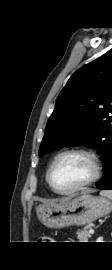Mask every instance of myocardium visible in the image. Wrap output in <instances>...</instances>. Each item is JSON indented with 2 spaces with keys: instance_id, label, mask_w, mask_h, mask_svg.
<instances>
[{
  "instance_id": "f54148a6",
  "label": "myocardium",
  "mask_w": 112,
  "mask_h": 270,
  "mask_svg": "<svg viewBox=\"0 0 112 270\" xmlns=\"http://www.w3.org/2000/svg\"><path fill=\"white\" fill-rule=\"evenodd\" d=\"M71 154L81 155V156L86 157L91 163L92 175L85 182H83V183H81V184H79L71 189L59 190L52 183L51 173H52L54 166L59 161V159H61L62 157L66 156V155H71ZM101 176H102V160H101L100 156L95 151L90 150V149H85V148H69V149H65V150L59 152L53 158V160L51 161V163L48 167L47 173H46V181H47L48 185L50 186V188L53 190V192H55L56 194L71 195V194L77 193L79 191H82V190L92 186L101 178Z\"/></svg>"
}]
</instances>
